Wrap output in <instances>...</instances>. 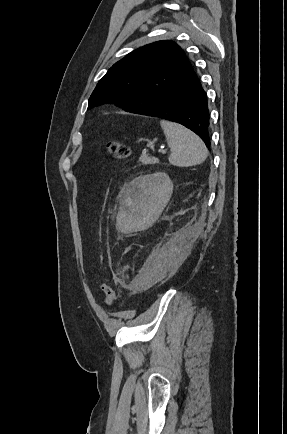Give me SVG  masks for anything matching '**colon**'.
<instances>
[{
  "label": "colon",
  "instance_id": "colon-1",
  "mask_svg": "<svg viewBox=\"0 0 287 434\" xmlns=\"http://www.w3.org/2000/svg\"><path fill=\"white\" fill-rule=\"evenodd\" d=\"M104 151L112 158L125 159L130 155V149L127 145L119 141H108L104 146ZM102 293L106 305L111 306L116 297V290L109 282L102 284Z\"/></svg>",
  "mask_w": 287,
  "mask_h": 434
}]
</instances>
